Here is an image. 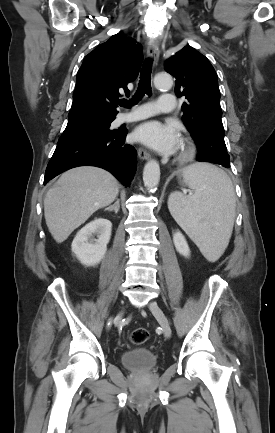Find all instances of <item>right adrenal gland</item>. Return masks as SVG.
I'll return each mask as SVG.
<instances>
[{"mask_svg": "<svg viewBox=\"0 0 275 433\" xmlns=\"http://www.w3.org/2000/svg\"><path fill=\"white\" fill-rule=\"evenodd\" d=\"M119 209H120V200L117 199L113 205L105 208V211H113L114 210L115 213H118Z\"/></svg>", "mask_w": 275, "mask_h": 433, "instance_id": "2a0ac1e0", "label": "right adrenal gland"}]
</instances>
